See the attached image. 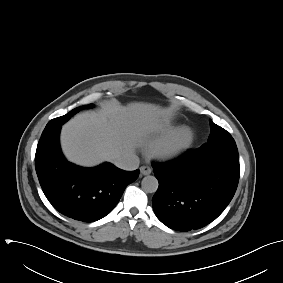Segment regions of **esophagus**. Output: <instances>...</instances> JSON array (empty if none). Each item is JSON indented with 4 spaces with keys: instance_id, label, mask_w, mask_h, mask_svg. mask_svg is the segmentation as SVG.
I'll return each instance as SVG.
<instances>
[{
    "instance_id": "esophagus-1",
    "label": "esophagus",
    "mask_w": 283,
    "mask_h": 283,
    "mask_svg": "<svg viewBox=\"0 0 283 283\" xmlns=\"http://www.w3.org/2000/svg\"><path fill=\"white\" fill-rule=\"evenodd\" d=\"M151 172H152V170H151V168L150 167H148V166H142V167H140V174L141 175H149V174H151Z\"/></svg>"
}]
</instances>
